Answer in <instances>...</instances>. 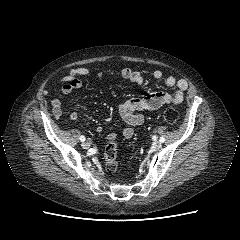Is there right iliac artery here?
Instances as JSON below:
<instances>
[{"label": "right iliac artery", "instance_id": "1", "mask_svg": "<svg viewBox=\"0 0 240 240\" xmlns=\"http://www.w3.org/2000/svg\"><path fill=\"white\" fill-rule=\"evenodd\" d=\"M80 140L81 141H85V137L82 135V136H80Z\"/></svg>", "mask_w": 240, "mask_h": 240}]
</instances>
